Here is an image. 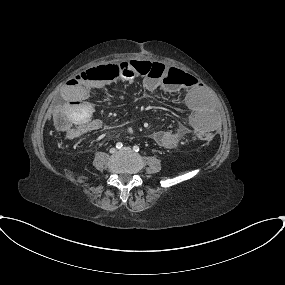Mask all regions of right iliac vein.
<instances>
[{
  "instance_id": "63e3f726",
  "label": "right iliac vein",
  "mask_w": 285,
  "mask_h": 285,
  "mask_svg": "<svg viewBox=\"0 0 285 285\" xmlns=\"http://www.w3.org/2000/svg\"><path fill=\"white\" fill-rule=\"evenodd\" d=\"M109 152H110L111 154H114V153L116 152V149H115V148H111V149L109 150Z\"/></svg>"
}]
</instances>
